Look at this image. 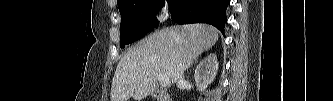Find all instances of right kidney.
Wrapping results in <instances>:
<instances>
[{
  "label": "right kidney",
  "instance_id": "right-kidney-1",
  "mask_svg": "<svg viewBox=\"0 0 333 101\" xmlns=\"http://www.w3.org/2000/svg\"><path fill=\"white\" fill-rule=\"evenodd\" d=\"M218 70V61L215 53L208 55L203 59L195 70V82L199 88L205 89L209 84H211Z\"/></svg>",
  "mask_w": 333,
  "mask_h": 101
}]
</instances>
